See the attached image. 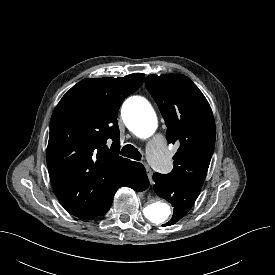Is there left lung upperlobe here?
<instances>
[{
  "instance_id": "obj_1",
  "label": "left lung upper lobe",
  "mask_w": 275,
  "mask_h": 275,
  "mask_svg": "<svg viewBox=\"0 0 275 275\" xmlns=\"http://www.w3.org/2000/svg\"><path fill=\"white\" fill-rule=\"evenodd\" d=\"M145 83L165 120L168 142L179 145L168 175L201 187L216 137L207 99L191 79L181 74L149 75Z\"/></svg>"
}]
</instances>
